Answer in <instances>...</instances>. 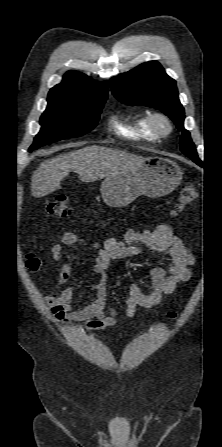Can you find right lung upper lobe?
I'll return each instance as SVG.
<instances>
[{
    "mask_svg": "<svg viewBox=\"0 0 222 447\" xmlns=\"http://www.w3.org/2000/svg\"><path fill=\"white\" fill-rule=\"evenodd\" d=\"M108 83H98L90 77L75 71L67 72L63 81L53 87L49 93H60L75 97L106 96Z\"/></svg>",
    "mask_w": 222,
    "mask_h": 447,
    "instance_id": "obj_1",
    "label": "right lung upper lobe"
}]
</instances>
